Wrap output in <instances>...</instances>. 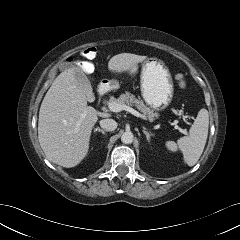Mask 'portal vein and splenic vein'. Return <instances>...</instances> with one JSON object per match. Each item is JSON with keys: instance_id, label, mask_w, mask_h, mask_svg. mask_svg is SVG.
<instances>
[{"instance_id": "1", "label": "portal vein and splenic vein", "mask_w": 240, "mask_h": 240, "mask_svg": "<svg viewBox=\"0 0 240 240\" xmlns=\"http://www.w3.org/2000/svg\"><path fill=\"white\" fill-rule=\"evenodd\" d=\"M108 108L112 112H120V111L125 110L127 112H130L131 114H133L136 117L145 119L144 115L140 114L138 111H136L135 109H133L130 106H127V105H122V104H118V103H115V102H111V103H108ZM175 128L178 129L181 133H183L185 135L188 134L186 129H182L179 126H175Z\"/></svg>"}]
</instances>
